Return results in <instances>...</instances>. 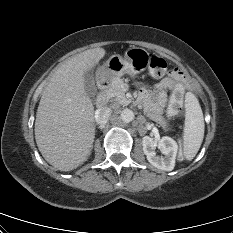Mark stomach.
Wrapping results in <instances>:
<instances>
[{
  "label": "stomach",
  "mask_w": 233,
  "mask_h": 233,
  "mask_svg": "<svg viewBox=\"0 0 233 233\" xmlns=\"http://www.w3.org/2000/svg\"><path fill=\"white\" fill-rule=\"evenodd\" d=\"M149 65V53L139 47L129 48L124 56L115 54L111 56L101 72L108 81H114L124 74L137 75L146 70Z\"/></svg>",
  "instance_id": "obj_1"
}]
</instances>
